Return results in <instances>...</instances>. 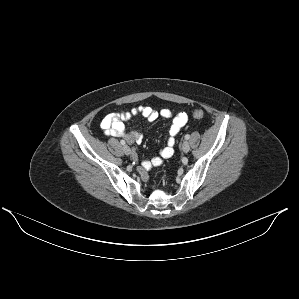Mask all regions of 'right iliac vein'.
I'll return each mask as SVG.
<instances>
[{
	"label": "right iliac vein",
	"instance_id": "63e3f726",
	"mask_svg": "<svg viewBox=\"0 0 299 299\" xmlns=\"http://www.w3.org/2000/svg\"><path fill=\"white\" fill-rule=\"evenodd\" d=\"M123 150L126 155H131V149L128 146L125 145L123 147Z\"/></svg>",
	"mask_w": 299,
	"mask_h": 299
}]
</instances>
